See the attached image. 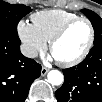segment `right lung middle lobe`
Wrapping results in <instances>:
<instances>
[{
  "label": "right lung middle lobe",
  "mask_w": 102,
  "mask_h": 102,
  "mask_svg": "<svg viewBox=\"0 0 102 102\" xmlns=\"http://www.w3.org/2000/svg\"><path fill=\"white\" fill-rule=\"evenodd\" d=\"M31 8L23 4H9L0 1V35H17V24Z\"/></svg>",
  "instance_id": "1"
}]
</instances>
